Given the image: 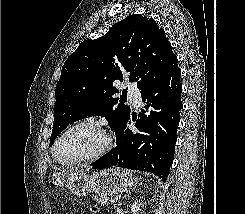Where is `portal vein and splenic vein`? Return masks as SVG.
Here are the masks:
<instances>
[{
    "label": "portal vein and splenic vein",
    "mask_w": 245,
    "mask_h": 214,
    "mask_svg": "<svg viewBox=\"0 0 245 214\" xmlns=\"http://www.w3.org/2000/svg\"><path fill=\"white\" fill-rule=\"evenodd\" d=\"M110 202H111V203H115V200H114V199H111Z\"/></svg>",
    "instance_id": "1"
}]
</instances>
